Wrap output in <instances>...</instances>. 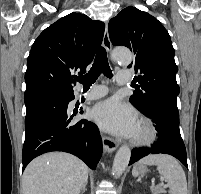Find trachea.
Listing matches in <instances>:
<instances>
[{
	"instance_id": "trachea-1",
	"label": "trachea",
	"mask_w": 201,
	"mask_h": 194,
	"mask_svg": "<svg viewBox=\"0 0 201 194\" xmlns=\"http://www.w3.org/2000/svg\"><path fill=\"white\" fill-rule=\"evenodd\" d=\"M101 73L108 78L113 77L112 70L108 65L106 50L103 47L99 48L90 71L86 75L79 77L77 81L83 84L84 89H89Z\"/></svg>"
}]
</instances>
